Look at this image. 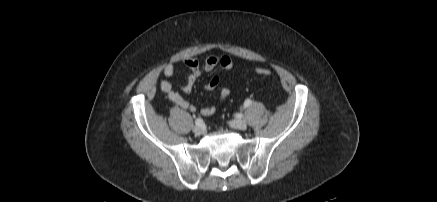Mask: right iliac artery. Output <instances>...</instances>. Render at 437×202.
Segmentation results:
<instances>
[{"label": "right iliac artery", "mask_w": 437, "mask_h": 202, "mask_svg": "<svg viewBox=\"0 0 437 202\" xmlns=\"http://www.w3.org/2000/svg\"><path fill=\"white\" fill-rule=\"evenodd\" d=\"M196 126H203L204 122L201 118H197L195 121Z\"/></svg>", "instance_id": "1"}]
</instances>
